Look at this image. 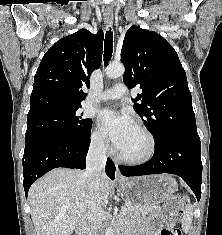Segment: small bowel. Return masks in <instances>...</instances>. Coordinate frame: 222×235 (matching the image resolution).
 I'll return each instance as SVG.
<instances>
[{
	"label": "small bowel",
	"instance_id": "1",
	"mask_svg": "<svg viewBox=\"0 0 222 235\" xmlns=\"http://www.w3.org/2000/svg\"><path fill=\"white\" fill-rule=\"evenodd\" d=\"M157 219L151 218L148 222V227L140 229L136 235H158L156 232Z\"/></svg>",
	"mask_w": 222,
	"mask_h": 235
}]
</instances>
